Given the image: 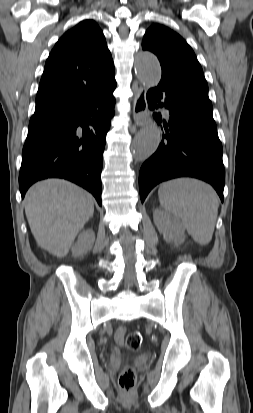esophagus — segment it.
Listing matches in <instances>:
<instances>
[{
    "label": "esophagus",
    "mask_w": 253,
    "mask_h": 413,
    "mask_svg": "<svg viewBox=\"0 0 253 413\" xmlns=\"http://www.w3.org/2000/svg\"><path fill=\"white\" fill-rule=\"evenodd\" d=\"M133 118L138 127H144L148 124V106L146 100V88L140 86L134 96Z\"/></svg>",
    "instance_id": "obj_1"
}]
</instances>
